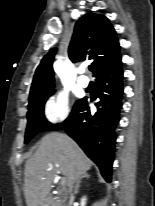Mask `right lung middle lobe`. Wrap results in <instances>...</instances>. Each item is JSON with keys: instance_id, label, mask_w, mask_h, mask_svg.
<instances>
[{"instance_id": "right-lung-middle-lobe-1", "label": "right lung middle lobe", "mask_w": 155, "mask_h": 206, "mask_svg": "<svg viewBox=\"0 0 155 206\" xmlns=\"http://www.w3.org/2000/svg\"><path fill=\"white\" fill-rule=\"evenodd\" d=\"M53 92L54 90L52 87L29 97L25 144H27L37 133L51 131L55 127L56 124L49 123L44 116L45 102Z\"/></svg>"}]
</instances>
